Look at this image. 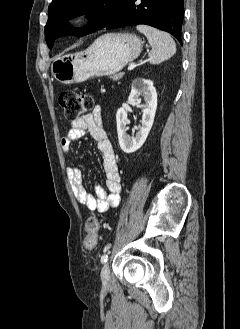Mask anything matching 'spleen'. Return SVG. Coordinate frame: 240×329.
Wrapping results in <instances>:
<instances>
[{
  "mask_svg": "<svg viewBox=\"0 0 240 329\" xmlns=\"http://www.w3.org/2000/svg\"><path fill=\"white\" fill-rule=\"evenodd\" d=\"M136 28L147 37L152 46L148 54V61L151 64H158L175 54L176 44L168 33L147 25H137Z\"/></svg>",
  "mask_w": 240,
  "mask_h": 329,
  "instance_id": "obj_1",
  "label": "spleen"
}]
</instances>
